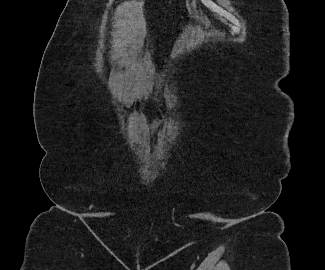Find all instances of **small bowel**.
Returning <instances> with one entry per match:
<instances>
[{
	"instance_id": "c3829d8e",
	"label": "small bowel",
	"mask_w": 325,
	"mask_h": 270,
	"mask_svg": "<svg viewBox=\"0 0 325 270\" xmlns=\"http://www.w3.org/2000/svg\"><path fill=\"white\" fill-rule=\"evenodd\" d=\"M152 122L153 123H156L157 122V119L156 118H152Z\"/></svg>"
}]
</instances>
